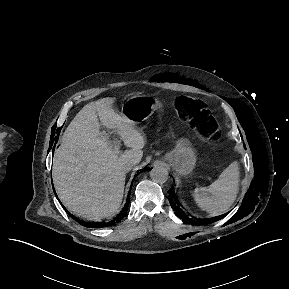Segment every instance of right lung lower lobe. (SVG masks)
I'll return each mask as SVG.
<instances>
[{
    "label": "right lung lower lobe",
    "mask_w": 289,
    "mask_h": 289,
    "mask_svg": "<svg viewBox=\"0 0 289 289\" xmlns=\"http://www.w3.org/2000/svg\"><path fill=\"white\" fill-rule=\"evenodd\" d=\"M147 169H143L141 170L139 173H141L142 171H145ZM138 173V174H139ZM129 197H130V192L128 194V198H127V202L124 206V208L122 209V211L111 221H108V222H84V221H81L79 219H77L76 217H74L71 213H69L66 209V211L68 212V214L74 219L76 220L78 223H80L81 225L85 226V227H92V228H101V227H108V226H111V225H114L116 223H119L123 217L125 216V211L128 207V204H129Z\"/></svg>",
    "instance_id": "1"
}]
</instances>
